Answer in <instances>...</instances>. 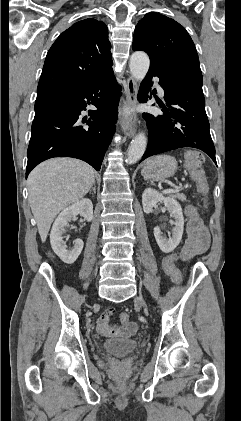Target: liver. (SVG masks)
Masks as SVG:
<instances>
[{"label":"liver","mask_w":241,"mask_h":421,"mask_svg":"<svg viewBox=\"0 0 241 421\" xmlns=\"http://www.w3.org/2000/svg\"><path fill=\"white\" fill-rule=\"evenodd\" d=\"M94 183V170L74 158H54L39 164L28 177L29 203L42 242L65 207L83 198Z\"/></svg>","instance_id":"6515ba94"}]
</instances>
